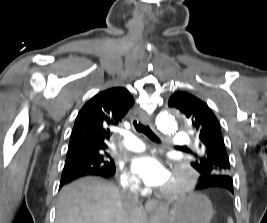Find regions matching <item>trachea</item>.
<instances>
[{"label": "trachea", "instance_id": "obj_1", "mask_svg": "<svg viewBox=\"0 0 267 223\" xmlns=\"http://www.w3.org/2000/svg\"><path fill=\"white\" fill-rule=\"evenodd\" d=\"M133 126L137 132L145 134L150 140L159 143L160 139L154 134V132L150 129L149 126L144 125L140 121L137 120L133 121Z\"/></svg>", "mask_w": 267, "mask_h": 223}]
</instances>
